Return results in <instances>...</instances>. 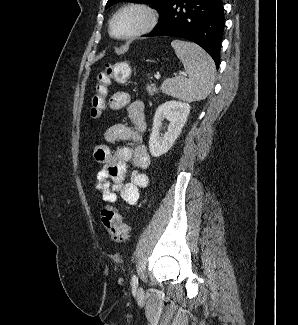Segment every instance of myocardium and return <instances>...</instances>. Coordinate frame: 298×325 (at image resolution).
I'll return each mask as SVG.
<instances>
[{"label":"myocardium","mask_w":298,"mask_h":325,"mask_svg":"<svg viewBox=\"0 0 298 325\" xmlns=\"http://www.w3.org/2000/svg\"><path fill=\"white\" fill-rule=\"evenodd\" d=\"M125 15H134L139 19L138 28L128 36H117L114 32L116 21ZM154 19L152 13L142 6L132 5L127 6L119 10L113 17L110 25V34L111 36L122 42H132L145 34L153 25Z\"/></svg>","instance_id":"obj_1"}]
</instances>
